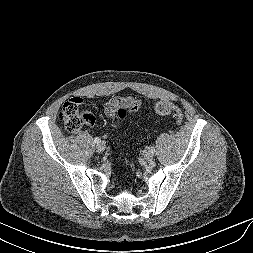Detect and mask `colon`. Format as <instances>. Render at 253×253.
Returning <instances> with one entry per match:
<instances>
[{
  "label": "colon",
  "mask_w": 253,
  "mask_h": 253,
  "mask_svg": "<svg viewBox=\"0 0 253 253\" xmlns=\"http://www.w3.org/2000/svg\"><path fill=\"white\" fill-rule=\"evenodd\" d=\"M154 111L160 116L173 114L178 123L183 120L181 109L168 100H159L154 105ZM128 115L126 108H119L113 118V124L117 126ZM60 119L69 132H78L85 124L94 123V115L82 108V101L79 98H72L66 101L60 112Z\"/></svg>",
  "instance_id": "colon-1"
}]
</instances>
